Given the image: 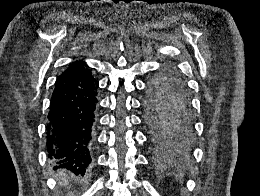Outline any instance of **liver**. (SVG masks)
I'll use <instances>...</instances> for the list:
<instances>
[{
  "label": "liver",
  "mask_w": 260,
  "mask_h": 196,
  "mask_svg": "<svg viewBox=\"0 0 260 196\" xmlns=\"http://www.w3.org/2000/svg\"><path fill=\"white\" fill-rule=\"evenodd\" d=\"M57 178H58L59 184H61V186H67V184H68L67 178H69V176H67L66 170H60V172H58V174H57Z\"/></svg>",
  "instance_id": "1"
}]
</instances>
